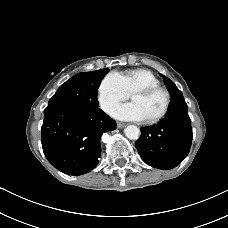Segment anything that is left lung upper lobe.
<instances>
[{"label": "left lung upper lobe", "instance_id": "5c2ea615", "mask_svg": "<svg viewBox=\"0 0 228 228\" xmlns=\"http://www.w3.org/2000/svg\"><path fill=\"white\" fill-rule=\"evenodd\" d=\"M166 84L172 94V98L182 95L181 91L176 87V85L168 78H165Z\"/></svg>", "mask_w": 228, "mask_h": 228}]
</instances>
